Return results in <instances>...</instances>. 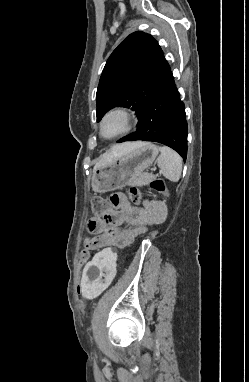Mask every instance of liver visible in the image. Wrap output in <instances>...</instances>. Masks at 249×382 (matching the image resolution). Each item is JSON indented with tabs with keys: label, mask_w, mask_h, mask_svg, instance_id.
<instances>
[{
	"label": "liver",
	"mask_w": 249,
	"mask_h": 382,
	"mask_svg": "<svg viewBox=\"0 0 249 382\" xmlns=\"http://www.w3.org/2000/svg\"><path fill=\"white\" fill-rule=\"evenodd\" d=\"M143 142H134V143H122L112 147L109 153L104 154L101 159L95 164L94 171L100 167L106 166L111 163L116 157L129 152L130 150L139 147Z\"/></svg>",
	"instance_id": "obj_1"
}]
</instances>
